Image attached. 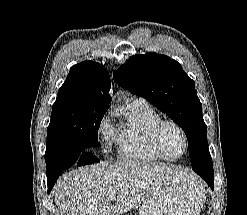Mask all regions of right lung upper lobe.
I'll return each instance as SVG.
<instances>
[{
  "instance_id": "cb5924a9",
  "label": "right lung upper lobe",
  "mask_w": 247,
  "mask_h": 215,
  "mask_svg": "<svg viewBox=\"0 0 247 215\" xmlns=\"http://www.w3.org/2000/svg\"><path fill=\"white\" fill-rule=\"evenodd\" d=\"M110 87V76L105 67L97 62L84 61L70 68L59 92L71 91L84 101L108 107Z\"/></svg>"
}]
</instances>
